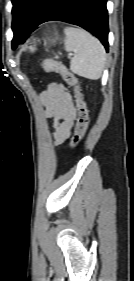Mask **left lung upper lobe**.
<instances>
[{
	"label": "left lung upper lobe",
	"instance_id": "obj_1",
	"mask_svg": "<svg viewBox=\"0 0 134 281\" xmlns=\"http://www.w3.org/2000/svg\"><path fill=\"white\" fill-rule=\"evenodd\" d=\"M13 4L12 29L25 30L43 0H11Z\"/></svg>",
	"mask_w": 134,
	"mask_h": 281
}]
</instances>
